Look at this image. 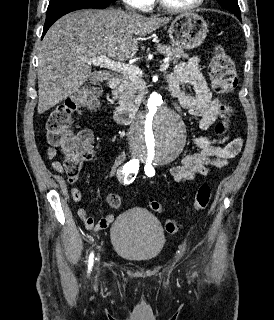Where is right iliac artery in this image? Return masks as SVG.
<instances>
[{
	"label": "right iliac artery",
	"mask_w": 274,
	"mask_h": 320,
	"mask_svg": "<svg viewBox=\"0 0 274 320\" xmlns=\"http://www.w3.org/2000/svg\"><path fill=\"white\" fill-rule=\"evenodd\" d=\"M139 169V160L134 159L126 163L123 167V175H125L124 181L125 183L129 184L130 182H133L135 179V175ZM93 258H94V253L92 252L89 256V261H88V272L91 271V268L93 266Z\"/></svg>",
	"instance_id": "obj_1"
}]
</instances>
